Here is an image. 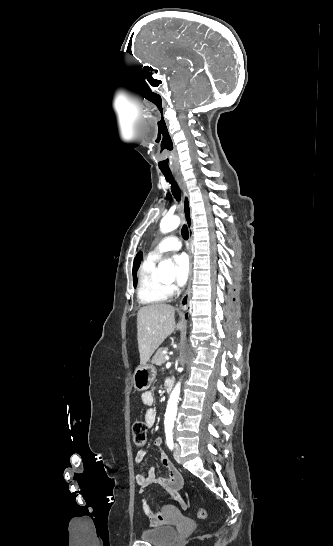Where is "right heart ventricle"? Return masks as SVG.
Masks as SVG:
<instances>
[{
  "instance_id": "e07e8e85",
  "label": "right heart ventricle",
  "mask_w": 333,
  "mask_h": 546,
  "mask_svg": "<svg viewBox=\"0 0 333 546\" xmlns=\"http://www.w3.org/2000/svg\"><path fill=\"white\" fill-rule=\"evenodd\" d=\"M156 259L148 257L141 265L138 274L137 296L143 305H154L169 298L166 286L155 276Z\"/></svg>"
}]
</instances>
